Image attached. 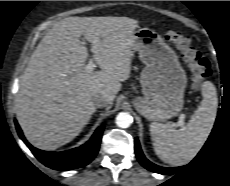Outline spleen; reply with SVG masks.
<instances>
[{
	"instance_id": "1",
	"label": "spleen",
	"mask_w": 230,
	"mask_h": 186,
	"mask_svg": "<svg viewBox=\"0 0 230 186\" xmlns=\"http://www.w3.org/2000/svg\"><path fill=\"white\" fill-rule=\"evenodd\" d=\"M203 99L189 122L180 129L170 124L152 122L150 133L156 155L165 163L185 165L201 150L216 119L218 98L214 84H202Z\"/></svg>"
}]
</instances>
